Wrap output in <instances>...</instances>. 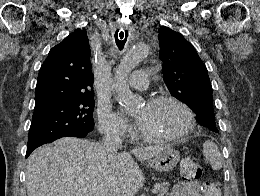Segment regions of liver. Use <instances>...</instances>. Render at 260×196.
<instances>
[{
  "label": "liver",
  "instance_id": "liver-1",
  "mask_svg": "<svg viewBox=\"0 0 260 196\" xmlns=\"http://www.w3.org/2000/svg\"><path fill=\"white\" fill-rule=\"evenodd\" d=\"M164 146L132 148L109 154L105 146L61 138L41 146L26 164L27 196H135L145 176L131 154L145 162L161 154Z\"/></svg>",
  "mask_w": 260,
  "mask_h": 196
}]
</instances>
